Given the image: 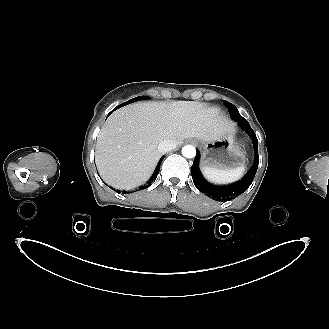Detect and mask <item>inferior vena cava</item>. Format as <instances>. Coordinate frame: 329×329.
Instances as JSON below:
<instances>
[{
    "label": "inferior vena cava",
    "instance_id": "602c4592",
    "mask_svg": "<svg viewBox=\"0 0 329 329\" xmlns=\"http://www.w3.org/2000/svg\"><path fill=\"white\" fill-rule=\"evenodd\" d=\"M177 146L176 142L171 139H165L161 141L158 145V150L160 153L164 154L175 149Z\"/></svg>",
    "mask_w": 329,
    "mask_h": 329
}]
</instances>
